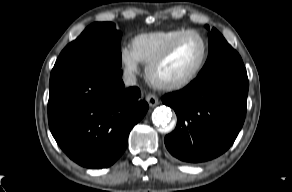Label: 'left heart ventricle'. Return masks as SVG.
Instances as JSON below:
<instances>
[{"mask_svg": "<svg viewBox=\"0 0 292 192\" xmlns=\"http://www.w3.org/2000/svg\"><path fill=\"white\" fill-rule=\"evenodd\" d=\"M203 54V44L199 37H185L173 53L156 69L155 77L163 82L182 79L198 65Z\"/></svg>", "mask_w": 292, "mask_h": 192, "instance_id": "left-heart-ventricle-1", "label": "left heart ventricle"}]
</instances>
